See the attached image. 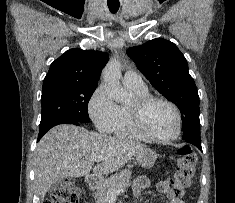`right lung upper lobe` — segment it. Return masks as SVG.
Masks as SVG:
<instances>
[{
	"instance_id": "cb5924a9",
	"label": "right lung upper lobe",
	"mask_w": 235,
	"mask_h": 203,
	"mask_svg": "<svg viewBox=\"0 0 235 203\" xmlns=\"http://www.w3.org/2000/svg\"><path fill=\"white\" fill-rule=\"evenodd\" d=\"M107 61L105 52L70 49L52 62L43 87L64 83L97 84Z\"/></svg>"
}]
</instances>
